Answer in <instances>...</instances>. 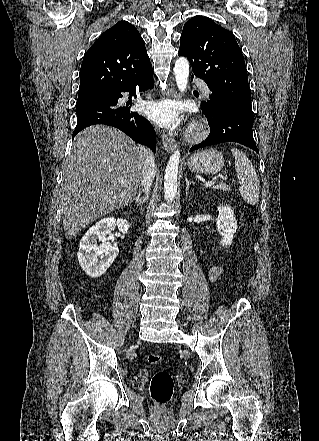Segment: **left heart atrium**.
Instances as JSON below:
<instances>
[{"label": "left heart atrium", "instance_id": "39dd6f15", "mask_svg": "<svg viewBox=\"0 0 319 441\" xmlns=\"http://www.w3.org/2000/svg\"><path fill=\"white\" fill-rule=\"evenodd\" d=\"M144 112L157 123L170 126L177 122L176 108L165 102H150L144 106Z\"/></svg>", "mask_w": 319, "mask_h": 441}]
</instances>
